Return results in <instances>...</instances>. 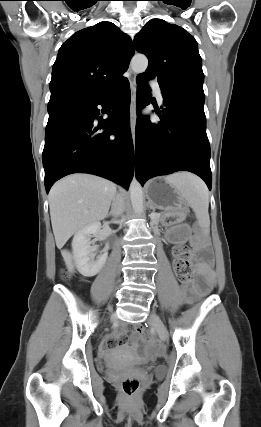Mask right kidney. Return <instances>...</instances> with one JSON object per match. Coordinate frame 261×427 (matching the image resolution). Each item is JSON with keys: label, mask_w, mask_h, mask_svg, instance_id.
<instances>
[{"label": "right kidney", "mask_w": 261, "mask_h": 427, "mask_svg": "<svg viewBox=\"0 0 261 427\" xmlns=\"http://www.w3.org/2000/svg\"><path fill=\"white\" fill-rule=\"evenodd\" d=\"M101 223L95 222L79 230L73 237L72 248L78 271L86 277L95 276L104 266L108 253L97 255V246H91L92 236H98Z\"/></svg>", "instance_id": "obj_1"}]
</instances>
